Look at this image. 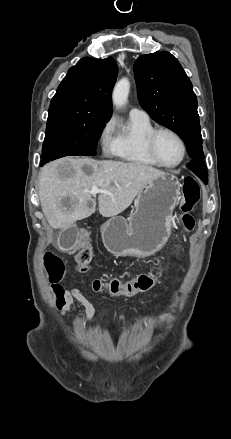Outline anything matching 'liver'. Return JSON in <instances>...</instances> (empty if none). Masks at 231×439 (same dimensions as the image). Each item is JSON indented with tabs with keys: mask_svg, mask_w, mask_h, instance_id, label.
Returning <instances> with one entry per match:
<instances>
[{
	"mask_svg": "<svg viewBox=\"0 0 231 439\" xmlns=\"http://www.w3.org/2000/svg\"><path fill=\"white\" fill-rule=\"evenodd\" d=\"M163 174L139 163L64 157L40 170L42 211L52 228H69L95 212L96 200L90 190L97 186L111 193L99 194V213L113 217L126 210L147 183Z\"/></svg>",
	"mask_w": 231,
	"mask_h": 439,
	"instance_id": "6515ba94",
	"label": "liver"
}]
</instances>
